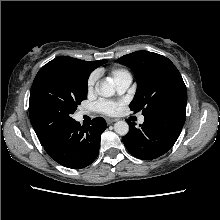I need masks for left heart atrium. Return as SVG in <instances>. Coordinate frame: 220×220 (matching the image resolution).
I'll return each instance as SVG.
<instances>
[{
	"label": "left heart atrium",
	"instance_id": "39dd6f15",
	"mask_svg": "<svg viewBox=\"0 0 220 220\" xmlns=\"http://www.w3.org/2000/svg\"><path fill=\"white\" fill-rule=\"evenodd\" d=\"M97 106L102 113L107 115H113L118 109V104L112 101H100Z\"/></svg>",
	"mask_w": 220,
	"mask_h": 220
}]
</instances>
